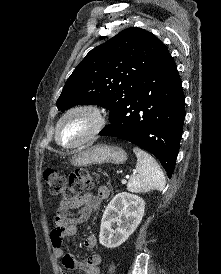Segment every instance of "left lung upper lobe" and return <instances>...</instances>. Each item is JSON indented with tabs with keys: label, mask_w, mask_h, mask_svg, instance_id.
Masks as SVG:
<instances>
[{
	"label": "left lung upper lobe",
	"mask_w": 221,
	"mask_h": 274,
	"mask_svg": "<svg viewBox=\"0 0 221 274\" xmlns=\"http://www.w3.org/2000/svg\"><path fill=\"white\" fill-rule=\"evenodd\" d=\"M168 53L151 32L138 27L121 31L92 49L75 68L57 100L58 110L98 104L114 114Z\"/></svg>",
	"instance_id": "obj_1"
}]
</instances>
